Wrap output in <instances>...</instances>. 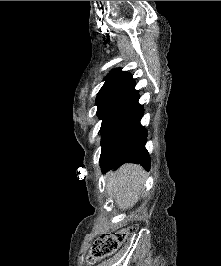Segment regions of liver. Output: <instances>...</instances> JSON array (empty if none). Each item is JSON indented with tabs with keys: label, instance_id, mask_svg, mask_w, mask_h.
<instances>
[{
	"label": "liver",
	"instance_id": "liver-1",
	"mask_svg": "<svg viewBox=\"0 0 221 266\" xmlns=\"http://www.w3.org/2000/svg\"><path fill=\"white\" fill-rule=\"evenodd\" d=\"M146 172L135 164H125L117 171L106 174L108 192L122 210L131 208L140 198Z\"/></svg>",
	"mask_w": 221,
	"mask_h": 266
}]
</instances>
